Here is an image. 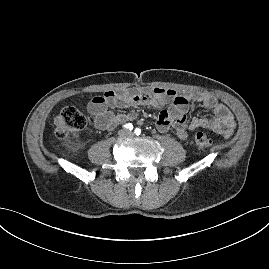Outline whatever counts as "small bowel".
<instances>
[{
  "label": "small bowel",
  "mask_w": 269,
  "mask_h": 269,
  "mask_svg": "<svg viewBox=\"0 0 269 269\" xmlns=\"http://www.w3.org/2000/svg\"><path fill=\"white\" fill-rule=\"evenodd\" d=\"M191 102L210 110L212 117H194L189 121L187 111ZM166 105H169V107L160 112L156 121V128L161 133L173 128L177 137L183 141L188 139V130L204 128L229 138L235 129L232 113L215 96L203 93L182 95L172 89L158 87L151 89L131 88L119 91L108 90L89 102L88 111L95 117L96 128L111 130L135 117L134 114H114L110 112L111 108L143 106L161 108Z\"/></svg>",
  "instance_id": "obj_1"
}]
</instances>
